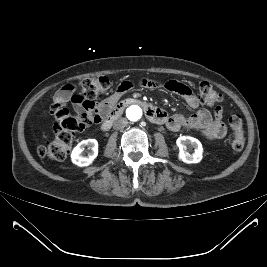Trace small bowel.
Returning a JSON list of instances; mask_svg holds the SVG:
<instances>
[{"instance_id":"1","label":"small bowel","mask_w":267,"mask_h":267,"mask_svg":"<svg viewBox=\"0 0 267 267\" xmlns=\"http://www.w3.org/2000/svg\"><path fill=\"white\" fill-rule=\"evenodd\" d=\"M141 84L149 88H161L168 92L174 93L181 98L193 109L195 113L189 116L182 114L167 115L164 111L165 124L172 131H178L186 126L198 129L201 134L210 141H220L226 135L227 129L221 121L223 110L221 107L216 108L215 117L209 110L199 107L198 97L193 90L184 83L176 80L160 82L152 79H142ZM135 86L133 81H124L116 91L100 103L80 101L75 94V87L67 84L57 91L55 101L62 105L73 104L76 113L80 117L92 120V123H98L116 104L120 97Z\"/></svg>"}]
</instances>
